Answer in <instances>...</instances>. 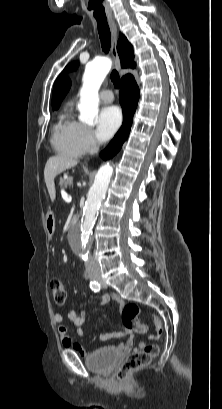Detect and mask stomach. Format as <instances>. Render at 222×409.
I'll return each mask as SVG.
<instances>
[{
    "label": "stomach",
    "mask_w": 222,
    "mask_h": 409,
    "mask_svg": "<svg viewBox=\"0 0 222 409\" xmlns=\"http://www.w3.org/2000/svg\"><path fill=\"white\" fill-rule=\"evenodd\" d=\"M45 229L48 234H52L55 230V217L52 212L46 216Z\"/></svg>",
    "instance_id": "1"
}]
</instances>
